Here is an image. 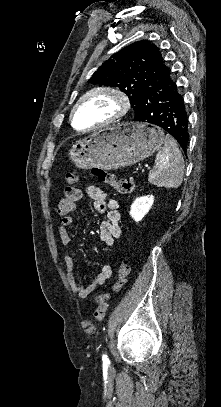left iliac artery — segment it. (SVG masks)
Returning <instances> with one entry per match:
<instances>
[{
	"mask_svg": "<svg viewBox=\"0 0 221 407\" xmlns=\"http://www.w3.org/2000/svg\"><path fill=\"white\" fill-rule=\"evenodd\" d=\"M102 360H103V362H108L109 361V359L107 358V355H105V354H103Z\"/></svg>",
	"mask_w": 221,
	"mask_h": 407,
	"instance_id": "obj_1",
	"label": "left iliac artery"
}]
</instances>
